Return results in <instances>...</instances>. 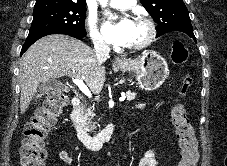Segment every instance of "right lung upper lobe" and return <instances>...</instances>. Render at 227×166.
Returning <instances> with one entry per match:
<instances>
[{
  "label": "right lung upper lobe",
  "mask_w": 227,
  "mask_h": 166,
  "mask_svg": "<svg viewBox=\"0 0 227 166\" xmlns=\"http://www.w3.org/2000/svg\"><path fill=\"white\" fill-rule=\"evenodd\" d=\"M40 4H72L79 6H86L85 0H36L35 5Z\"/></svg>",
  "instance_id": "obj_1"
}]
</instances>
